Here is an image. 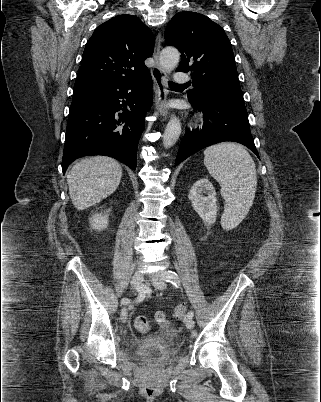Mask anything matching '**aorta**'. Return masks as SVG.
Returning <instances> with one entry per match:
<instances>
[{"instance_id": "1", "label": "aorta", "mask_w": 321, "mask_h": 402, "mask_svg": "<svg viewBox=\"0 0 321 402\" xmlns=\"http://www.w3.org/2000/svg\"><path fill=\"white\" fill-rule=\"evenodd\" d=\"M180 60V53L174 47L164 48L159 57L160 65L162 69L170 73L173 71ZM181 134V123L177 117H172L168 122L166 129L163 134V145L165 148L172 147L178 140Z\"/></svg>"}]
</instances>
